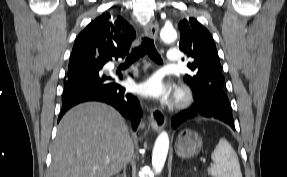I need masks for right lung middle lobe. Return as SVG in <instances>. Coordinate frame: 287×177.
<instances>
[{"label": "right lung middle lobe", "instance_id": "obj_1", "mask_svg": "<svg viewBox=\"0 0 287 177\" xmlns=\"http://www.w3.org/2000/svg\"><path fill=\"white\" fill-rule=\"evenodd\" d=\"M96 58L97 57H90V58H86V59H80L77 61H69V68L77 66V65L82 64V63L91 62V61L95 60Z\"/></svg>", "mask_w": 287, "mask_h": 177}]
</instances>
